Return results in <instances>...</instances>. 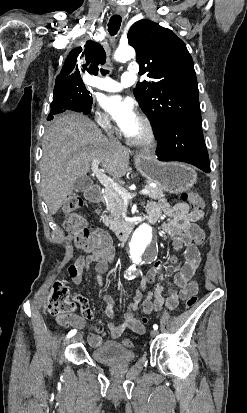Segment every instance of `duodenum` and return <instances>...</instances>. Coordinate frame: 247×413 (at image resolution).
Wrapping results in <instances>:
<instances>
[{"mask_svg": "<svg viewBox=\"0 0 247 413\" xmlns=\"http://www.w3.org/2000/svg\"><path fill=\"white\" fill-rule=\"evenodd\" d=\"M89 202H100L103 198V189L99 185L91 186L85 193ZM133 229V223L129 222L126 226L115 231L117 241L120 245H125Z\"/></svg>", "mask_w": 247, "mask_h": 413, "instance_id": "410a0bca", "label": "duodenum"}]
</instances>
